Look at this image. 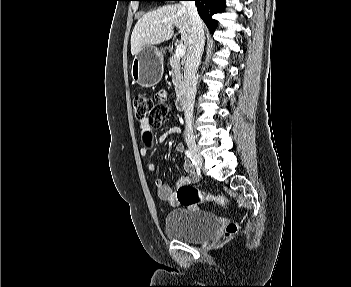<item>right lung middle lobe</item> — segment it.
I'll use <instances>...</instances> for the list:
<instances>
[{
  "instance_id": "obj_1",
  "label": "right lung middle lobe",
  "mask_w": 351,
  "mask_h": 287,
  "mask_svg": "<svg viewBox=\"0 0 351 287\" xmlns=\"http://www.w3.org/2000/svg\"><path fill=\"white\" fill-rule=\"evenodd\" d=\"M138 1H172V0H138Z\"/></svg>"
}]
</instances>
